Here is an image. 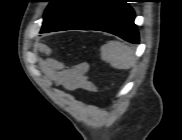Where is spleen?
Returning <instances> with one entry per match:
<instances>
[{
    "instance_id": "3e777b00",
    "label": "spleen",
    "mask_w": 182,
    "mask_h": 140,
    "mask_svg": "<svg viewBox=\"0 0 182 140\" xmlns=\"http://www.w3.org/2000/svg\"><path fill=\"white\" fill-rule=\"evenodd\" d=\"M101 57L116 69H129L136 64L134 50L118 41H109L103 45Z\"/></svg>"
}]
</instances>
